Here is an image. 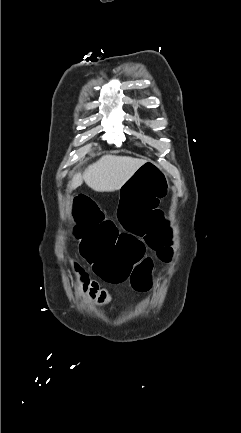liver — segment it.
I'll return each instance as SVG.
<instances>
[{
	"label": "liver",
	"mask_w": 241,
	"mask_h": 433,
	"mask_svg": "<svg viewBox=\"0 0 241 433\" xmlns=\"http://www.w3.org/2000/svg\"><path fill=\"white\" fill-rule=\"evenodd\" d=\"M146 160L126 156L106 155L89 165L83 172L77 173L69 183V188L76 189L84 181L96 192H110L121 188L141 167Z\"/></svg>",
	"instance_id": "obj_1"
}]
</instances>
